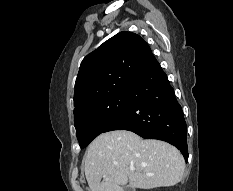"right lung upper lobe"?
<instances>
[{
  "label": "right lung upper lobe",
  "instance_id": "right-lung-upper-lobe-1",
  "mask_svg": "<svg viewBox=\"0 0 233 191\" xmlns=\"http://www.w3.org/2000/svg\"><path fill=\"white\" fill-rule=\"evenodd\" d=\"M151 57L150 47L135 33L123 31L105 41L80 65L74 114L107 98L128 93Z\"/></svg>",
  "mask_w": 233,
  "mask_h": 191
}]
</instances>
